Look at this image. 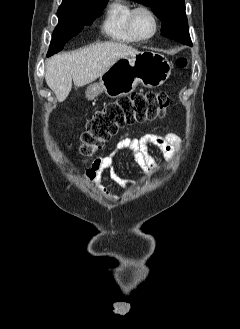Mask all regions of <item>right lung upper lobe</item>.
I'll return each mask as SVG.
<instances>
[{"mask_svg":"<svg viewBox=\"0 0 240 329\" xmlns=\"http://www.w3.org/2000/svg\"><path fill=\"white\" fill-rule=\"evenodd\" d=\"M95 0H63L61 5H68L73 3H83V2H91Z\"/></svg>","mask_w":240,"mask_h":329,"instance_id":"obj_1","label":"right lung upper lobe"}]
</instances>
